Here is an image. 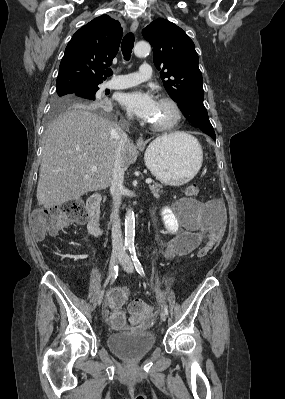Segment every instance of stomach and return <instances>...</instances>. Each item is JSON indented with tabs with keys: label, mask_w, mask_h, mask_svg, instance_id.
Masks as SVG:
<instances>
[{
	"label": "stomach",
	"mask_w": 285,
	"mask_h": 399,
	"mask_svg": "<svg viewBox=\"0 0 285 399\" xmlns=\"http://www.w3.org/2000/svg\"><path fill=\"white\" fill-rule=\"evenodd\" d=\"M147 168L161 183L179 186L189 182L199 171L203 154L198 141L185 134L181 138H157L147 147Z\"/></svg>",
	"instance_id": "obj_1"
}]
</instances>
